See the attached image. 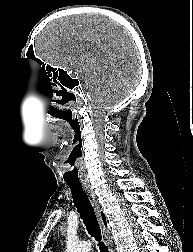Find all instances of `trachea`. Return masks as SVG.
Listing matches in <instances>:
<instances>
[{
  "instance_id": "1",
  "label": "trachea",
  "mask_w": 193,
  "mask_h": 252,
  "mask_svg": "<svg viewBox=\"0 0 193 252\" xmlns=\"http://www.w3.org/2000/svg\"><path fill=\"white\" fill-rule=\"evenodd\" d=\"M72 192L74 205L83 219L88 233L95 238L101 252H108V247L102 241L101 230L94 209L81 184L67 183Z\"/></svg>"
}]
</instances>
